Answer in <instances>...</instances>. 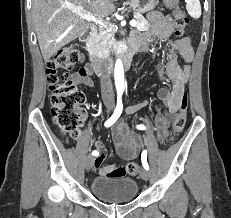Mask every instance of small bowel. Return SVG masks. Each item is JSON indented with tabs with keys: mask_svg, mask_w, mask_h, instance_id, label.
<instances>
[{
	"mask_svg": "<svg viewBox=\"0 0 231 218\" xmlns=\"http://www.w3.org/2000/svg\"><path fill=\"white\" fill-rule=\"evenodd\" d=\"M149 20L154 28L142 35H135L132 42V48L139 51H148L154 41L164 42L169 39L174 31L173 19L170 15H164L154 11L148 14ZM181 57L183 63H180L178 57ZM193 59V49L189 38L184 37L171 42V49L168 60L165 63H159L157 70L162 76L163 81L171 84L170 88H162L158 91L159 100L167 108L166 113L157 109L155 124L157 137L159 141H164L169 134L171 118L178 111L181 97L185 91V86L190 73V62ZM92 71L88 63L84 68L74 74L73 80L77 84L92 87L94 82L91 77ZM150 100L132 105L126 108L127 114H133L149 104ZM113 141L118 154L126 161L132 160L139 155L141 139L131 134L127 127L119 122L112 130ZM97 157L94 159L93 168L100 170L101 175L105 176H125L127 174V164L103 166L107 150L101 140L95 142Z\"/></svg>",
	"mask_w": 231,
	"mask_h": 218,
	"instance_id": "obj_1",
	"label": "small bowel"
}]
</instances>
